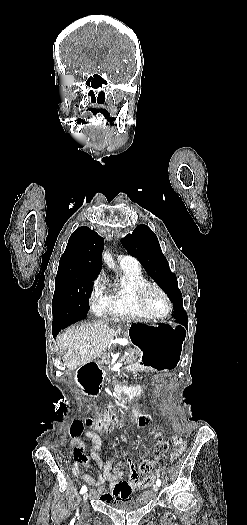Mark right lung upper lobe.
<instances>
[{
  "label": "right lung upper lobe",
  "instance_id": "cb5924a9",
  "mask_svg": "<svg viewBox=\"0 0 247 525\" xmlns=\"http://www.w3.org/2000/svg\"><path fill=\"white\" fill-rule=\"evenodd\" d=\"M104 239L88 227H79L70 236L59 261L58 272L82 271L99 274Z\"/></svg>",
  "mask_w": 247,
  "mask_h": 525
}]
</instances>
